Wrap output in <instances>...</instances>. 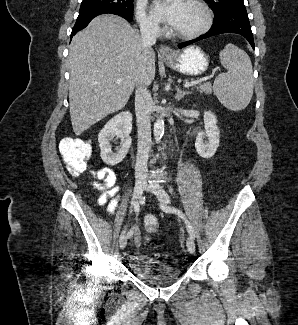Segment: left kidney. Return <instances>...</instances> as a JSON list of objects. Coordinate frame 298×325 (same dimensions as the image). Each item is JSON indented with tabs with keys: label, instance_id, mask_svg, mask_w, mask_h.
I'll list each match as a JSON object with an SVG mask.
<instances>
[{
	"label": "left kidney",
	"instance_id": "5707ae66",
	"mask_svg": "<svg viewBox=\"0 0 298 325\" xmlns=\"http://www.w3.org/2000/svg\"><path fill=\"white\" fill-rule=\"evenodd\" d=\"M196 106V104H193ZM204 132H198L195 140V148L199 156L203 158H211L215 154L219 146L220 130L218 128V120L216 114L212 110H204ZM207 136V142H204V138Z\"/></svg>",
	"mask_w": 298,
	"mask_h": 325
}]
</instances>
